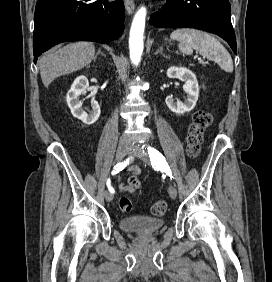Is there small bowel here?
<instances>
[{"label": "small bowel", "instance_id": "1", "mask_svg": "<svg viewBox=\"0 0 272 282\" xmlns=\"http://www.w3.org/2000/svg\"><path fill=\"white\" fill-rule=\"evenodd\" d=\"M130 172L132 174H139L140 173V168L138 166H133L130 168ZM137 183L134 184V185H131V184H128V185H125V184H121L119 186V191L121 193H133L134 191H136L139 187H140V182L139 180L137 179Z\"/></svg>", "mask_w": 272, "mask_h": 282}]
</instances>
